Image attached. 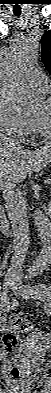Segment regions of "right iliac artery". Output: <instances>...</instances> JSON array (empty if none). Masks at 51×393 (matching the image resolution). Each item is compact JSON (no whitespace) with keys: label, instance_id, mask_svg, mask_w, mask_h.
<instances>
[{"label":"right iliac artery","instance_id":"1","mask_svg":"<svg viewBox=\"0 0 51 393\" xmlns=\"http://www.w3.org/2000/svg\"><path fill=\"white\" fill-rule=\"evenodd\" d=\"M0 300H1L0 306L2 307V310H6L9 307L7 294L2 292Z\"/></svg>","mask_w":51,"mask_h":393}]
</instances>
